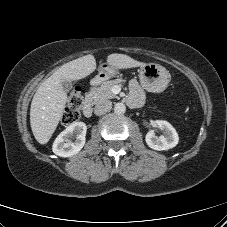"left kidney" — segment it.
I'll return each instance as SVG.
<instances>
[{"label": "left kidney", "mask_w": 227, "mask_h": 227, "mask_svg": "<svg viewBox=\"0 0 227 227\" xmlns=\"http://www.w3.org/2000/svg\"><path fill=\"white\" fill-rule=\"evenodd\" d=\"M155 126L161 129L164 135L156 137L154 132L150 130L145 136V141L150 148L157 151H163L171 149L178 144V134L169 122L157 120L155 121Z\"/></svg>", "instance_id": "5707ae66"}]
</instances>
